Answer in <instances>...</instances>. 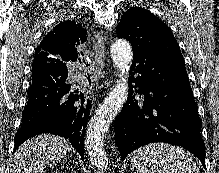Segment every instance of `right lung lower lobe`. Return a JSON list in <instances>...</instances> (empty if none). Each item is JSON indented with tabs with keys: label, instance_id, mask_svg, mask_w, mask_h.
I'll use <instances>...</instances> for the list:
<instances>
[{
	"label": "right lung lower lobe",
	"instance_id": "1",
	"mask_svg": "<svg viewBox=\"0 0 219 173\" xmlns=\"http://www.w3.org/2000/svg\"><path fill=\"white\" fill-rule=\"evenodd\" d=\"M86 77L91 83L90 76ZM67 79L65 62L32 66L29 99L22 113V126L15 134V149L31 137L52 133L69 139L84 159L83 141L92 101L86 91L74 90Z\"/></svg>",
	"mask_w": 219,
	"mask_h": 173
}]
</instances>
